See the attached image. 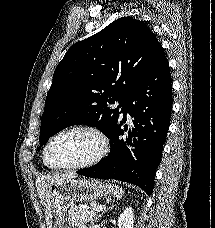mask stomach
<instances>
[{"instance_id":"obj_1","label":"stomach","mask_w":215,"mask_h":228,"mask_svg":"<svg viewBox=\"0 0 215 228\" xmlns=\"http://www.w3.org/2000/svg\"><path fill=\"white\" fill-rule=\"evenodd\" d=\"M52 228H67L66 204L72 202H94L108 194L106 186L100 180H72L66 178L48 188Z\"/></svg>"}]
</instances>
